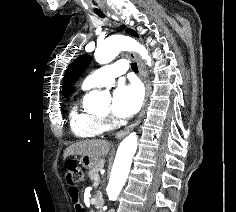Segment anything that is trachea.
Segmentation results:
<instances>
[{"mask_svg": "<svg viewBox=\"0 0 236 212\" xmlns=\"http://www.w3.org/2000/svg\"><path fill=\"white\" fill-rule=\"evenodd\" d=\"M96 14L100 17V18H103L104 17V14L102 12H96ZM132 67V70L134 72H138V67H137V64L136 63H132L131 65Z\"/></svg>", "mask_w": 236, "mask_h": 212, "instance_id": "trachea-1", "label": "trachea"}]
</instances>
